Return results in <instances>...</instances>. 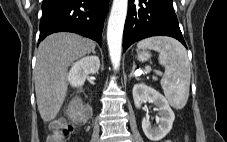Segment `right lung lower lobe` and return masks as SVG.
Listing matches in <instances>:
<instances>
[{
  "mask_svg": "<svg viewBox=\"0 0 227 142\" xmlns=\"http://www.w3.org/2000/svg\"><path fill=\"white\" fill-rule=\"evenodd\" d=\"M109 0H43L39 41L56 32H73L102 45Z\"/></svg>",
  "mask_w": 227,
  "mask_h": 142,
  "instance_id": "1",
  "label": "right lung lower lobe"
}]
</instances>
